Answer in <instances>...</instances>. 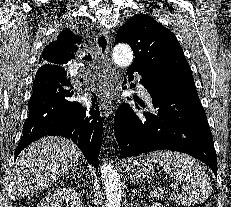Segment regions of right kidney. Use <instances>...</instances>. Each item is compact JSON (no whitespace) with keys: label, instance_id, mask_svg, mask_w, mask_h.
<instances>
[{"label":"right kidney","instance_id":"ca27d5eb","mask_svg":"<svg viewBox=\"0 0 231 207\" xmlns=\"http://www.w3.org/2000/svg\"><path fill=\"white\" fill-rule=\"evenodd\" d=\"M83 207L80 194L73 188L60 187L48 193L38 207Z\"/></svg>","mask_w":231,"mask_h":207}]
</instances>
